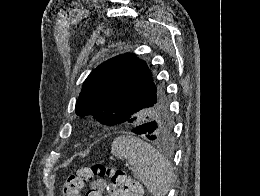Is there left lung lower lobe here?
Masks as SVG:
<instances>
[{
	"instance_id": "left-lung-lower-lobe-1",
	"label": "left lung lower lobe",
	"mask_w": 260,
	"mask_h": 196,
	"mask_svg": "<svg viewBox=\"0 0 260 196\" xmlns=\"http://www.w3.org/2000/svg\"><path fill=\"white\" fill-rule=\"evenodd\" d=\"M134 112V108L130 107H110L107 110H104L102 114L99 115L98 120L107 125L121 124L129 120ZM153 129L154 124L152 122H146L134 127L131 131L136 134L145 135L148 139L151 140V133Z\"/></svg>"
}]
</instances>
